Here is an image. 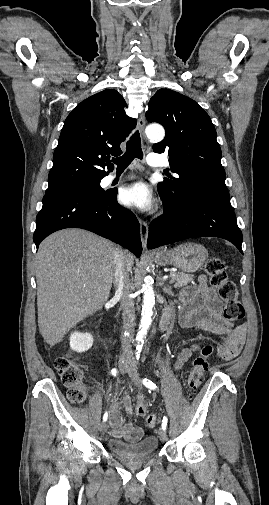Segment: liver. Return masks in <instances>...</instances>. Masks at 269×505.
Wrapping results in <instances>:
<instances>
[{
	"instance_id": "obj_1",
	"label": "liver",
	"mask_w": 269,
	"mask_h": 505,
	"mask_svg": "<svg viewBox=\"0 0 269 505\" xmlns=\"http://www.w3.org/2000/svg\"><path fill=\"white\" fill-rule=\"evenodd\" d=\"M118 249L81 229L58 231L40 244L35 262L38 326L50 346L108 300ZM124 253L130 271L134 259Z\"/></svg>"
}]
</instances>
